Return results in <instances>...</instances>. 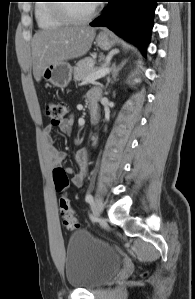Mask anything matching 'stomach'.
<instances>
[{
    "mask_svg": "<svg viewBox=\"0 0 195 299\" xmlns=\"http://www.w3.org/2000/svg\"><path fill=\"white\" fill-rule=\"evenodd\" d=\"M95 43L102 50H109L115 41L107 33L102 32L96 37ZM42 77L56 87L65 88L71 81L72 67L66 62L51 64L44 69Z\"/></svg>",
    "mask_w": 195,
    "mask_h": 299,
    "instance_id": "0dacf381",
    "label": "stomach"
}]
</instances>
